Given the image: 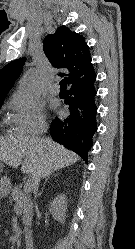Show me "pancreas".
I'll return each instance as SVG.
<instances>
[{"label": "pancreas", "mask_w": 135, "mask_h": 249, "mask_svg": "<svg viewBox=\"0 0 135 249\" xmlns=\"http://www.w3.org/2000/svg\"><path fill=\"white\" fill-rule=\"evenodd\" d=\"M12 199L15 201V210L22 212L25 216L31 215L32 203L28 197V193L21 190L20 187L15 186L11 193Z\"/></svg>", "instance_id": "cf45deb5"}]
</instances>
